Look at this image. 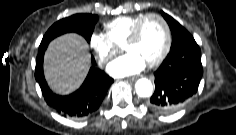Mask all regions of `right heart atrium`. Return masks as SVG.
<instances>
[{"mask_svg":"<svg viewBox=\"0 0 236 135\" xmlns=\"http://www.w3.org/2000/svg\"><path fill=\"white\" fill-rule=\"evenodd\" d=\"M89 45L100 65H105L118 52V47L103 33H92Z\"/></svg>","mask_w":236,"mask_h":135,"instance_id":"obj_1","label":"right heart atrium"}]
</instances>
